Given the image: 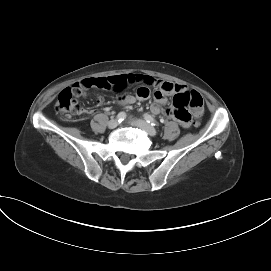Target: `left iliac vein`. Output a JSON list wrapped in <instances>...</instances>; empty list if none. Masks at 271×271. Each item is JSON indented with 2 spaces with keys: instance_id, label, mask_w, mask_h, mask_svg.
<instances>
[{
  "instance_id": "4c4485c4",
  "label": "left iliac vein",
  "mask_w": 271,
  "mask_h": 271,
  "mask_svg": "<svg viewBox=\"0 0 271 271\" xmlns=\"http://www.w3.org/2000/svg\"><path fill=\"white\" fill-rule=\"evenodd\" d=\"M130 123L132 125H135L144 131H146L150 136H155L157 134V131L154 127H152L150 124H148L146 121L141 119H135L131 120Z\"/></svg>"
}]
</instances>
